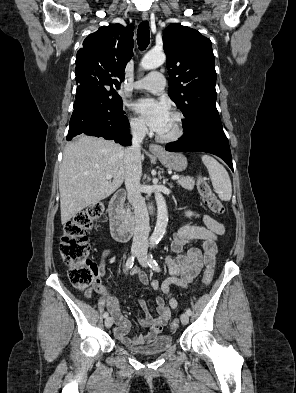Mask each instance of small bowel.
<instances>
[{"instance_id": "1", "label": "small bowel", "mask_w": 296, "mask_h": 393, "mask_svg": "<svg viewBox=\"0 0 296 393\" xmlns=\"http://www.w3.org/2000/svg\"><path fill=\"white\" fill-rule=\"evenodd\" d=\"M187 217H201L204 226L187 225L180 227L173 236L171 250L176 253L175 257L166 258V266L171 275L165 281L160 283L153 279L149 281L147 274L140 268L134 267L132 275L137 277L142 285L150 284L152 289L161 290L166 296L168 303L162 296L156 297L157 316L153 317L149 312L145 300H139L138 304L144 311V315L138 319L140 326L149 328L145 334L129 337L131 323L126 319L120 309L117 297L104 287L100 281H97L92 290L86 292L85 296L90 297L95 291L105 297V307L110 312L116 327L114 333L116 338L124 345L136 346L150 343L159 335L163 327L168 323L171 317V310L178 307L177 300L171 295L170 286L178 285L187 288L192 280L200 273L203 266L213 267L217 253L218 237L225 233V227L222 223L208 214H199L193 211H186ZM202 243V249L187 246L195 242ZM112 249L108 248L102 255L99 264V274L103 276L106 271V260L111 255Z\"/></svg>"}]
</instances>
